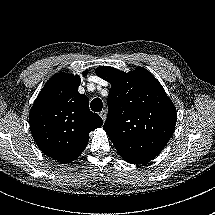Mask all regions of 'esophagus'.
<instances>
[{"mask_svg":"<svg viewBox=\"0 0 215 215\" xmlns=\"http://www.w3.org/2000/svg\"><path fill=\"white\" fill-rule=\"evenodd\" d=\"M106 116H107V111L106 110H102L100 112V117L102 118L103 121L106 120Z\"/></svg>","mask_w":215,"mask_h":215,"instance_id":"esophagus-1","label":"esophagus"}]
</instances>
